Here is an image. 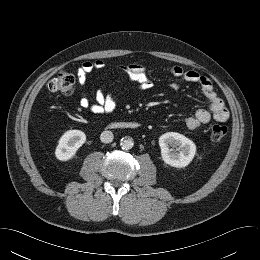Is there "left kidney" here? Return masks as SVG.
<instances>
[{
    "label": "left kidney",
    "instance_id": "1",
    "mask_svg": "<svg viewBox=\"0 0 260 260\" xmlns=\"http://www.w3.org/2000/svg\"><path fill=\"white\" fill-rule=\"evenodd\" d=\"M159 146L163 161L175 168L186 167L193 160L196 153V145L193 141L176 132L161 135Z\"/></svg>",
    "mask_w": 260,
    "mask_h": 260
}]
</instances>
